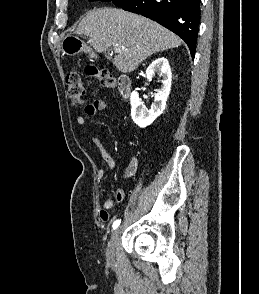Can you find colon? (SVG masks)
Returning a JSON list of instances; mask_svg holds the SVG:
<instances>
[{
    "instance_id": "5ec220e1",
    "label": "colon",
    "mask_w": 259,
    "mask_h": 294,
    "mask_svg": "<svg viewBox=\"0 0 259 294\" xmlns=\"http://www.w3.org/2000/svg\"><path fill=\"white\" fill-rule=\"evenodd\" d=\"M86 74L95 78L104 87L113 88L116 85L115 77L107 70L87 67ZM66 84L70 100L76 105H82L84 103L85 87L81 75L78 72H70L66 77Z\"/></svg>"
}]
</instances>
